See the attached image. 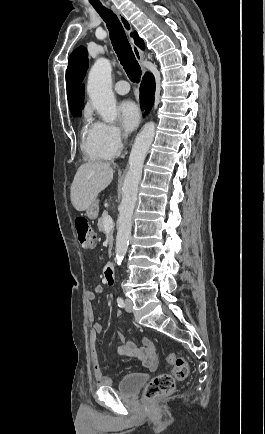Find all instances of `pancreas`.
Listing matches in <instances>:
<instances>
[{
    "label": "pancreas",
    "instance_id": "pancreas-1",
    "mask_svg": "<svg viewBox=\"0 0 265 434\" xmlns=\"http://www.w3.org/2000/svg\"><path fill=\"white\" fill-rule=\"evenodd\" d=\"M106 216H108V212H106V210H104V212L102 214V218H98V224H97L99 232H104V234L106 232V230L104 228V218H106ZM109 236H110V238H109V250H111L112 242H113V240H112L113 230H109Z\"/></svg>",
    "mask_w": 265,
    "mask_h": 434
}]
</instances>
